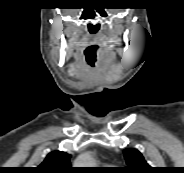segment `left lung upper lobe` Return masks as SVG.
Returning <instances> with one entry per match:
<instances>
[{
	"mask_svg": "<svg viewBox=\"0 0 184 173\" xmlns=\"http://www.w3.org/2000/svg\"><path fill=\"white\" fill-rule=\"evenodd\" d=\"M126 159V168H123L126 173H150L151 167L144 160L142 154L136 149L124 150Z\"/></svg>",
	"mask_w": 184,
	"mask_h": 173,
	"instance_id": "obj_1",
	"label": "left lung upper lobe"
}]
</instances>
